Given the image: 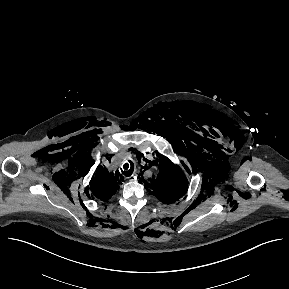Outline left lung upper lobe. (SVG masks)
Here are the masks:
<instances>
[{
  "label": "left lung upper lobe",
  "mask_w": 289,
  "mask_h": 289,
  "mask_svg": "<svg viewBox=\"0 0 289 289\" xmlns=\"http://www.w3.org/2000/svg\"><path fill=\"white\" fill-rule=\"evenodd\" d=\"M187 185L185 173L178 166L163 158V164L159 166V175L151 182L153 189L151 193L156 195L162 203L170 204L183 196Z\"/></svg>",
  "instance_id": "5c2ea615"
}]
</instances>
